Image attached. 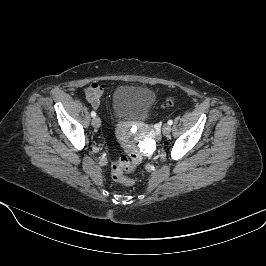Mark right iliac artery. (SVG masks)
<instances>
[{
	"instance_id": "1",
	"label": "right iliac artery",
	"mask_w": 266,
	"mask_h": 266,
	"mask_svg": "<svg viewBox=\"0 0 266 266\" xmlns=\"http://www.w3.org/2000/svg\"><path fill=\"white\" fill-rule=\"evenodd\" d=\"M91 116H92V117H95V116H96L95 111H92V112H91Z\"/></svg>"
}]
</instances>
